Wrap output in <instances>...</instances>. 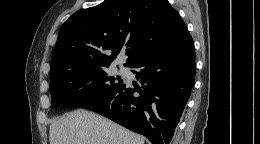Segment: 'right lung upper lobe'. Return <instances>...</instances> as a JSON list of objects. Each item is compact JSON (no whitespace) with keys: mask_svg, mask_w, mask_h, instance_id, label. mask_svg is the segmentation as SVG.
Instances as JSON below:
<instances>
[{"mask_svg":"<svg viewBox=\"0 0 260 144\" xmlns=\"http://www.w3.org/2000/svg\"><path fill=\"white\" fill-rule=\"evenodd\" d=\"M187 27L167 0H105L77 11L59 29L50 77L65 71L107 66L121 50L129 66L175 44Z\"/></svg>","mask_w":260,"mask_h":144,"instance_id":"1","label":"right lung upper lobe"}]
</instances>
